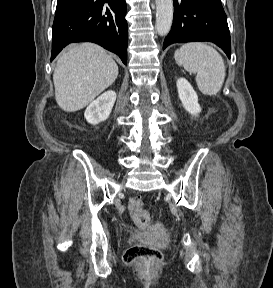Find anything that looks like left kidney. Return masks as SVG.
<instances>
[{
	"label": "left kidney",
	"instance_id": "left-kidney-1",
	"mask_svg": "<svg viewBox=\"0 0 273 288\" xmlns=\"http://www.w3.org/2000/svg\"><path fill=\"white\" fill-rule=\"evenodd\" d=\"M179 98L183 107L193 116H197L201 112L198 104V96L191 84L185 79L180 78L176 82Z\"/></svg>",
	"mask_w": 273,
	"mask_h": 288
}]
</instances>
